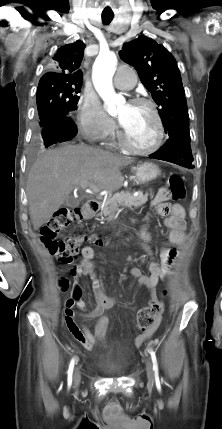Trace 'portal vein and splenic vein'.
<instances>
[{
    "instance_id": "obj_1",
    "label": "portal vein and splenic vein",
    "mask_w": 222,
    "mask_h": 429,
    "mask_svg": "<svg viewBox=\"0 0 222 429\" xmlns=\"http://www.w3.org/2000/svg\"><path fill=\"white\" fill-rule=\"evenodd\" d=\"M81 188L86 189L88 192H99V189L89 184L87 181H83L80 183Z\"/></svg>"
}]
</instances>
